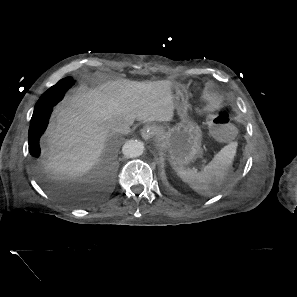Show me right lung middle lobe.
I'll use <instances>...</instances> for the list:
<instances>
[{"label":"right lung middle lobe","mask_w":297,"mask_h":297,"mask_svg":"<svg viewBox=\"0 0 297 297\" xmlns=\"http://www.w3.org/2000/svg\"><path fill=\"white\" fill-rule=\"evenodd\" d=\"M74 84V80L71 77L60 80L56 85L49 88L39 99L34 109L35 116H39L48 107L55 105L59 102L64 93Z\"/></svg>","instance_id":"1"}]
</instances>
